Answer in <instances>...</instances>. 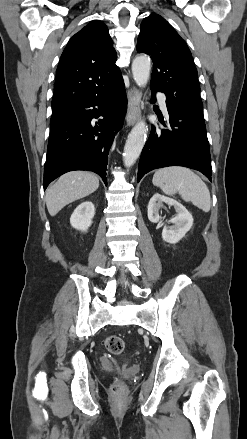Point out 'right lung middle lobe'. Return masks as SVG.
I'll use <instances>...</instances> for the list:
<instances>
[{
  "mask_svg": "<svg viewBox=\"0 0 247 439\" xmlns=\"http://www.w3.org/2000/svg\"><path fill=\"white\" fill-rule=\"evenodd\" d=\"M56 114H58V113H56ZM56 114H52V116H55Z\"/></svg>",
  "mask_w": 247,
  "mask_h": 439,
  "instance_id": "right-lung-middle-lobe-1",
  "label": "right lung middle lobe"
}]
</instances>
